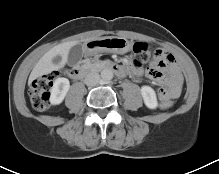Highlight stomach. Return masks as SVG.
<instances>
[{
	"label": "stomach",
	"instance_id": "1",
	"mask_svg": "<svg viewBox=\"0 0 219 174\" xmlns=\"http://www.w3.org/2000/svg\"><path fill=\"white\" fill-rule=\"evenodd\" d=\"M84 46L88 55L101 52L124 54L131 50L132 43L123 37L110 36L89 40Z\"/></svg>",
	"mask_w": 219,
	"mask_h": 174
}]
</instances>
